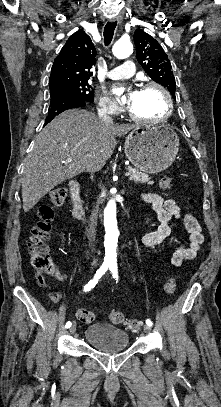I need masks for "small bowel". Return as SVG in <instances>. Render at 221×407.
Returning <instances> with one entry per match:
<instances>
[{
  "mask_svg": "<svg viewBox=\"0 0 221 407\" xmlns=\"http://www.w3.org/2000/svg\"><path fill=\"white\" fill-rule=\"evenodd\" d=\"M142 198L146 203L152 206L156 219L159 222V226L156 230L144 235L142 239L144 247L153 249L161 246L166 241L177 244L178 247L172 259L173 264L176 266L181 265L183 262L178 261V258L186 260L194 257L204 241V236L197 219L188 212L183 213L174 199H164L156 193L144 194ZM179 220L183 222L190 236V244L188 246L181 244L180 239L174 234V223ZM55 278L62 281L66 276L57 270ZM38 283L46 291L51 300L54 302L60 301L61 296L59 292L49 286L41 276H38Z\"/></svg>",
  "mask_w": 221,
  "mask_h": 407,
  "instance_id": "c3829d8e",
  "label": "small bowel"
}]
</instances>
